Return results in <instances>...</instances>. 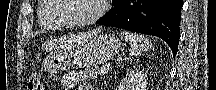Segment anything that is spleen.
Returning <instances> with one entry per match:
<instances>
[{
	"label": "spleen",
	"mask_w": 216,
	"mask_h": 90,
	"mask_svg": "<svg viewBox=\"0 0 216 90\" xmlns=\"http://www.w3.org/2000/svg\"><path fill=\"white\" fill-rule=\"evenodd\" d=\"M121 40L127 42L129 44V48H131V52L134 54H142V52H148L153 48L150 40L145 38V36H140V34H133V32H121L120 34Z\"/></svg>",
	"instance_id": "1"
}]
</instances>
